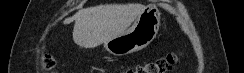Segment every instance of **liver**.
<instances>
[{
  "label": "liver",
  "instance_id": "6515ba94",
  "mask_svg": "<svg viewBox=\"0 0 244 73\" xmlns=\"http://www.w3.org/2000/svg\"><path fill=\"white\" fill-rule=\"evenodd\" d=\"M144 9L138 3L98 5L79 10L63 23L75 21L74 42L83 48H94L128 30Z\"/></svg>",
  "mask_w": 244,
  "mask_h": 73
}]
</instances>
